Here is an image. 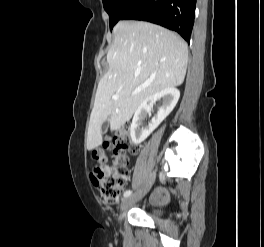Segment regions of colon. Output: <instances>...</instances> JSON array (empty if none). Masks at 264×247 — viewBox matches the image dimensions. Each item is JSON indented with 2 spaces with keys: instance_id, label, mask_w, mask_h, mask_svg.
Segmentation results:
<instances>
[{
  "instance_id": "1",
  "label": "colon",
  "mask_w": 264,
  "mask_h": 247,
  "mask_svg": "<svg viewBox=\"0 0 264 247\" xmlns=\"http://www.w3.org/2000/svg\"><path fill=\"white\" fill-rule=\"evenodd\" d=\"M104 148L112 150V157L108 159L103 150L94 152L96 163L91 170V180L105 202L116 204L129 180L127 155L136 153L138 149L125 127L113 133L105 141Z\"/></svg>"
}]
</instances>
